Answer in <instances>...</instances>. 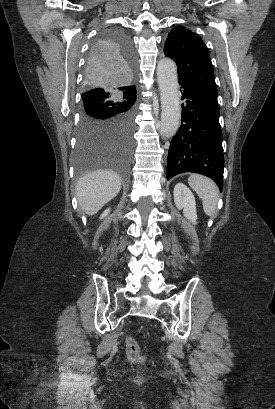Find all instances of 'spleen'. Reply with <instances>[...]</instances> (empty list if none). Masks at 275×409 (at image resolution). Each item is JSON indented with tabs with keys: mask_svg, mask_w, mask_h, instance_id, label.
<instances>
[{
	"mask_svg": "<svg viewBox=\"0 0 275 409\" xmlns=\"http://www.w3.org/2000/svg\"><path fill=\"white\" fill-rule=\"evenodd\" d=\"M188 182L191 188L202 198L204 213L209 217H213L218 202L219 188L217 184H215L214 180L202 176V174H191Z\"/></svg>",
	"mask_w": 275,
	"mask_h": 409,
	"instance_id": "1",
	"label": "spleen"
}]
</instances>
